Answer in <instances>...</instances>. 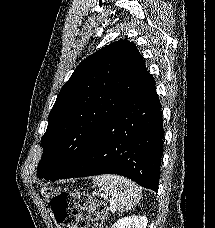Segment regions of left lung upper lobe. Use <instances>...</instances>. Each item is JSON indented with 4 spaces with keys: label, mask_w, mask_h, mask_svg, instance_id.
I'll return each mask as SVG.
<instances>
[{
    "label": "left lung upper lobe",
    "mask_w": 215,
    "mask_h": 228,
    "mask_svg": "<svg viewBox=\"0 0 215 228\" xmlns=\"http://www.w3.org/2000/svg\"><path fill=\"white\" fill-rule=\"evenodd\" d=\"M147 73L132 42L111 43L84 59L64 84L41 139L38 178L65 173Z\"/></svg>",
    "instance_id": "obj_1"
}]
</instances>
